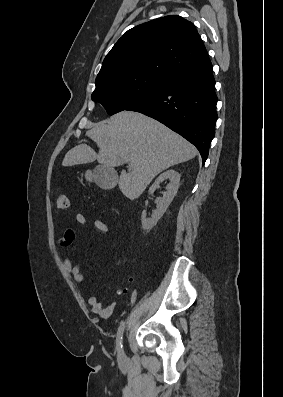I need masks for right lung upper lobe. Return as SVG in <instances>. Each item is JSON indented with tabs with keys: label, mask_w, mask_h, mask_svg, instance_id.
Masks as SVG:
<instances>
[{
	"label": "right lung upper lobe",
	"mask_w": 283,
	"mask_h": 397,
	"mask_svg": "<svg viewBox=\"0 0 283 397\" xmlns=\"http://www.w3.org/2000/svg\"><path fill=\"white\" fill-rule=\"evenodd\" d=\"M211 63L190 21L170 15L128 30L105 57L96 81L148 75L168 80Z\"/></svg>",
	"instance_id": "1"
}]
</instances>
